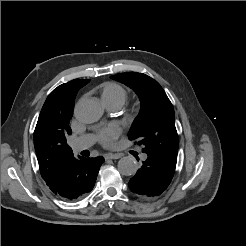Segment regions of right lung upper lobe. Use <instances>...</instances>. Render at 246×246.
I'll use <instances>...</instances> for the list:
<instances>
[{
    "mask_svg": "<svg viewBox=\"0 0 246 246\" xmlns=\"http://www.w3.org/2000/svg\"><path fill=\"white\" fill-rule=\"evenodd\" d=\"M89 79H74L54 89L47 97L34 131V146L42 178L49 185L59 171L72 159V149L67 144L74 101L80 88Z\"/></svg>",
    "mask_w": 246,
    "mask_h": 246,
    "instance_id": "obj_1",
    "label": "right lung upper lobe"
}]
</instances>
